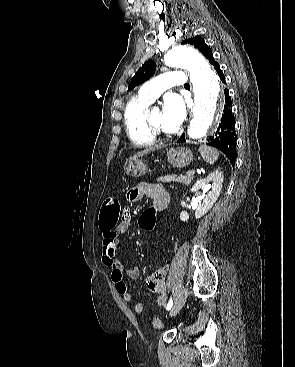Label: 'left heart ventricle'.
I'll return each mask as SVG.
<instances>
[{"label": "left heart ventricle", "instance_id": "obj_1", "mask_svg": "<svg viewBox=\"0 0 295 367\" xmlns=\"http://www.w3.org/2000/svg\"><path fill=\"white\" fill-rule=\"evenodd\" d=\"M150 118L152 122L162 130L166 131L162 124V111L155 110L150 113Z\"/></svg>", "mask_w": 295, "mask_h": 367}]
</instances>
